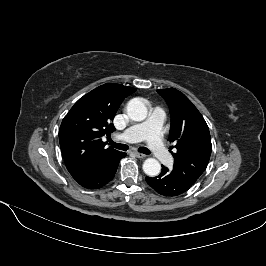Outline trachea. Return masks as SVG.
Wrapping results in <instances>:
<instances>
[{
  "mask_svg": "<svg viewBox=\"0 0 266 266\" xmlns=\"http://www.w3.org/2000/svg\"><path fill=\"white\" fill-rule=\"evenodd\" d=\"M109 145L115 147L118 150H122V151L128 150V146L125 144L115 143V142L109 141ZM138 150L143 154H147V155L150 154V151L145 147H140Z\"/></svg>",
  "mask_w": 266,
  "mask_h": 266,
  "instance_id": "3493384b",
  "label": "trachea"
}]
</instances>
